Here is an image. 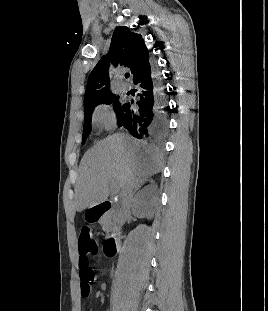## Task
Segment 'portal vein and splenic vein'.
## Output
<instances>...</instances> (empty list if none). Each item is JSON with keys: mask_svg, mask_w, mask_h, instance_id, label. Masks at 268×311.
Instances as JSON below:
<instances>
[{"mask_svg": "<svg viewBox=\"0 0 268 311\" xmlns=\"http://www.w3.org/2000/svg\"><path fill=\"white\" fill-rule=\"evenodd\" d=\"M111 189H112V191L118 190V188H117V186H116V184L114 182H112V184H111Z\"/></svg>", "mask_w": 268, "mask_h": 311, "instance_id": "18ae733b", "label": "portal vein and splenic vein"}]
</instances>
